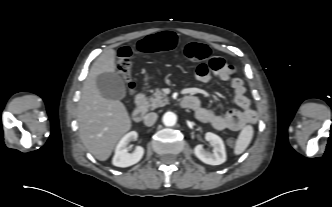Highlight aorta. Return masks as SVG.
<instances>
[{
  "instance_id": "obj_1",
  "label": "aorta",
  "mask_w": 332,
  "mask_h": 207,
  "mask_svg": "<svg viewBox=\"0 0 332 207\" xmlns=\"http://www.w3.org/2000/svg\"><path fill=\"white\" fill-rule=\"evenodd\" d=\"M177 117L173 112H166L163 115L162 121L165 126L171 127L176 124Z\"/></svg>"
}]
</instances>
